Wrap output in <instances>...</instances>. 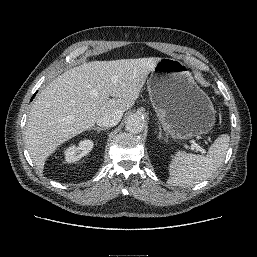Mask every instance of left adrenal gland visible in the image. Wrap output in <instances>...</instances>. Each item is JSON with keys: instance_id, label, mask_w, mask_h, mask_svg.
Segmentation results:
<instances>
[{"instance_id": "obj_1", "label": "left adrenal gland", "mask_w": 257, "mask_h": 257, "mask_svg": "<svg viewBox=\"0 0 257 257\" xmlns=\"http://www.w3.org/2000/svg\"><path fill=\"white\" fill-rule=\"evenodd\" d=\"M158 138L163 139L162 130H161L160 126H159V136H158Z\"/></svg>"}]
</instances>
